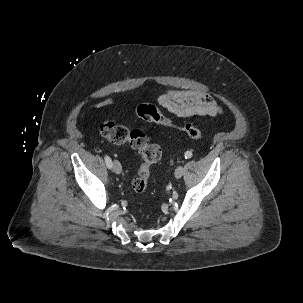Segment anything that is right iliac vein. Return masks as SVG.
<instances>
[{
  "label": "right iliac vein",
  "instance_id": "63e3f726",
  "mask_svg": "<svg viewBox=\"0 0 303 303\" xmlns=\"http://www.w3.org/2000/svg\"><path fill=\"white\" fill-rule=\"evenodd\" d=\"M113 171L116 173V174H120L121 173V171H122V166H121V164L117 161V160H115L114 162H113Z\"/></svg>",
  "mask_w": 303,
  "mask_h": 303
}]
</instances>
